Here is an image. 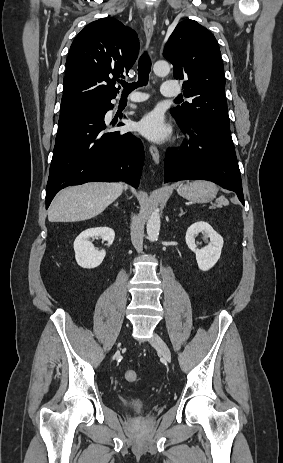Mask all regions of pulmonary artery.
I'll return each instance as SVG.
<instances>
[{"instance_id": "obj_1", "label": "pulmonary artery", "mask_w": 283, "mask_h": 463, "mask_svg": "<svg viewBox=\"0 0 283 463\" xmlns=\"http://www.w3.org/2000/svg\"><path fill=\"white\" fill-rule=\"evenodd\" d=\"M160 92L164 97L176 98L181 93V89L176 83L172 81H166L161 85ZM144 98H146V96H132L130 97V100L140 101Z\"/></svg>"}]
</instances>
